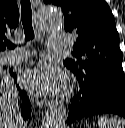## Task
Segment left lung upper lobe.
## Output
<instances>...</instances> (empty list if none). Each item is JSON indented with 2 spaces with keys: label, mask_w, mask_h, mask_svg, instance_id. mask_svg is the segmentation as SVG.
<instances>
[{
  "label": "left lung upper lobe",
  "mask_w": 125,
  "mask_h": 128,
  "mask_svg": "<svg viewBox=\"0 0 125 128\" xmlns=\"http://www.w3.org/2000/svg\"><path fill=\"white\" fill-rule=\"evenodd\" d=\"M60 6L64 28L76 32L73 56L64 65L93 84L107 76L121 73L122 52L114 16L105 0H43Z\"/></svg>",
  "instance_id": "obj_1"
}]
</instances>
